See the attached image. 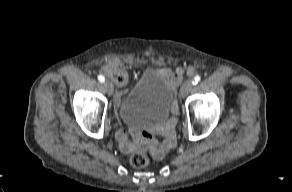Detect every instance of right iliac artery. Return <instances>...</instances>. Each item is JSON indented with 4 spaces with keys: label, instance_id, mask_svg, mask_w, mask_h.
Returning a JSON list of instances; mask_svg holds the SVG:
<instances>
[{
    "label": "right iliac artery",
    "instance_id": "right-iliac-artery-1",
    "mask_svg": "<svg viewBox=\"0 0 292 192\" xmlns=\"http://www.w3.org/2000/svg\"><path fill=\"white\" fill-rule=\"evenodd\" d=\"M98 80H99L101 83H103V82L105 81V78H104L103 75H99V76H98Z\"/></svg>",
    "mask_w": 292,
    "mask_h": 192
}]
</instances>
